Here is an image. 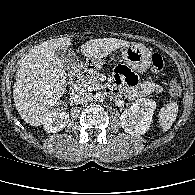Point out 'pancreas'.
<instances>
[{
	"label": "pancreas",
	"mask_w": 195,
	"mask_h": 195,
	"mask_svg": "<svg viewBox=\"0 0 195 195\" xmlns=\"http://www.w3.org/2000/svg\"><path fill=\"white\" fill-rule=\"evenodd\" d=\"M98 77L99 74L97 72L91 75H86L81 79V85L89 90H100L103 88V85L99 82Z\"/></svg>",
	"instance_id": "obj_1"
}]
</instances>
